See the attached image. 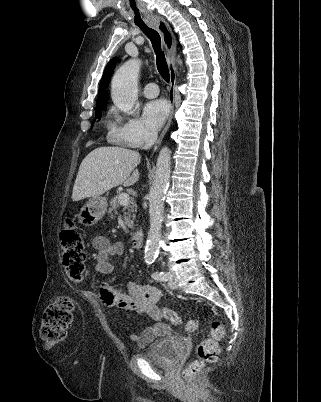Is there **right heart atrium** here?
Listing matches in <instances>:
<instances>
[{"label": "right heart atrium", "mask_w": 321, "mask_h": 402, "mask_svg": "<svg viewBox=\"0 0 321 402\" xmlns=\"http://www.w3.org/2000/svg\"><path fill=\"white\" fill-rule=\"evenodd\" d=\"M111 115L118 118L121 114L116 108L111 109ZM155 138V134L138 117L124 115L122 121L114 124L110 133V139L122 145L139 148Z\"/></svg>", "instance_id": "obj_1"}]
</instances>
